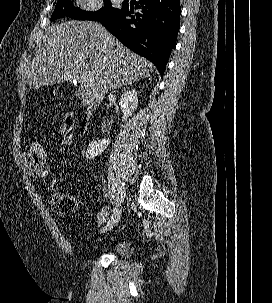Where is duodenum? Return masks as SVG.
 Instances as JSON below:
<instances>
[{"label": "duodenum", "mask_w": 272, "mask_h": 303, "mask_svg": "<svg viewBox=\"0 0 272 303\" xmlns=\"http://www.w3.org/2000/svg\"><path fill=\"white\" fill-rule=\"evenodd\" d=\"M88 119H89V114L83 119V121L80 124V127H79L80 135L86 134L87 128H88Z\"/></svg>", "instance_id": "410a0bca"}]
</instances>
